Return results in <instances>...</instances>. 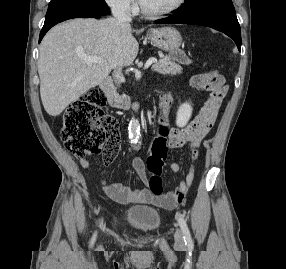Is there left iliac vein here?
Returning a JSON list of instances; mask_svg holds the SVG:
<instances>
[{"label": "left iliac vein", "instance_id": "4c4485c4", "mask_svg": "<svg viewBox=\"0 0 286 269\" xmlns=\"http://www.w3.org/2000/svg\"><path fill=\"white\" fill-rule=\"evenodd\" d=\"M175 242L178 246H183L184 244L183 232L180 228H177L175 231Z\"/></svg>", "mask_w": 286, "mask_h": 269}]
</instances>
